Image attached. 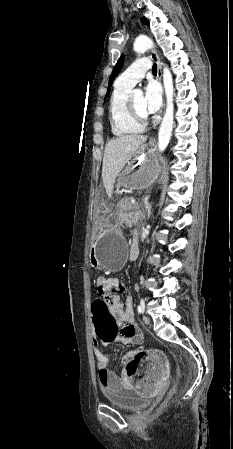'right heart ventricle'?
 Here are the masks:
<instances>
[{"instance_id": "1", "label": "right heart ventricle", "mask_w": 233, "mask_h": 449, "mask_svg": "<svg viewBox=\"0 0 233 449\" xmlns=\"http://www.w3.org/2000/svg\"><path fill=\"white\" fill-rule=\"evenodd\" d=\"M131 88L115 83L109 101V119L112 133L117 137L135 135L144 131V125L131 118L127 111V99Z\"/></svg>"}]
</instances>
